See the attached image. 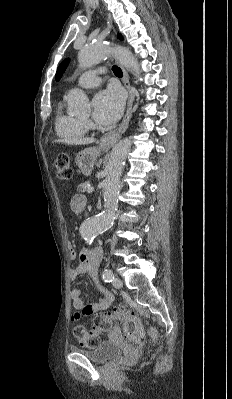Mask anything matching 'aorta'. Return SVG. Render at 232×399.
Masks as SVG:
<instances>
[{
  "instance_id": "obj_1",
  "label": "aorta",
  "mask_w": 232,
  "mask_h": 399,
  "mask_svg": "<svg viewBox=\"0 0 232 399\" xmlns=\"http://www.w3.org/2000/svg\"><path fill=\"white\" fill-rule=\"evenodd\" d=\"M110 55H114L118 62L134 75L139 74L138 61L129 49L121 46L113 47L102 42L83 47L79 51L78 62L81 68H89ZM65 99L74 111H83L89 107V100L80 89L71 90ZM131 144L130 138H124L111 151L107 164V175L102 183L105 210L96 216L86 219L80 227L81 235L89 244L92 243L97 235L108 230L113 224L118 207L119 177Z\"/></svg>"
}]
</instances>
